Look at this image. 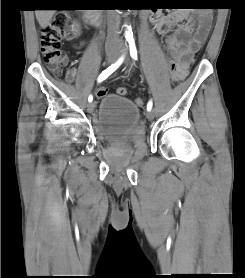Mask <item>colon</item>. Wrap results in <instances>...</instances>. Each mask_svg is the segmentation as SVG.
Segmentation results:
<instances>
[{
    "instance_id": "5ec220e1",
    "label": "colon",
    "mask_w": 245,
    "mask_h": 278,
    "mask_svg": "<svg viewBox=\"0 0 245 278\" xmlns=\"http://www.w3.org/2000/svg\"><path fill=\"white\" fill-rule=\"evenodd\" d=\"M209 1L202 0L197 6L204 11H211L214 7ZM69 34L70 26L68 18L64 14L55 15L51 23L43 27L39 33L43 61L47 68L56 76L61 74L67 60L66 54L61 49V40ZM171 74L174 82L182 79L174 65L171 66ZM98 92L107 93L106 89H100ZM116 93L120 96H127L128 90L124 87H118ZM134 102L139 108L144 105V100L141 97L135 98Z\"/></svg>"
}]
</instances>
